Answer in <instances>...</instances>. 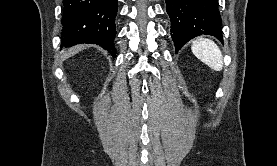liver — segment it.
<instances>
[{
  "label": "liver",
  "mask_w": 277,
  "mask_h": 166,
  "mask_svg": "<svg viewBox=\"0 0 277 166\" xmlns=\"http://www.w3.org/2000/svg\"><path fill=\"white\" fill-rule=\"evenodd\" d=\"M83 48H84V46H77V47L71 48L64 54L63 58L64 59L69 58V57L75 55L76 53H78L79 51H81Z\"/></svg>",
  "instance_id": "1"
}]
</instances>
